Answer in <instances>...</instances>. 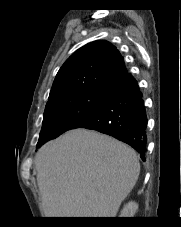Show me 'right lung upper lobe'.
Segmentation results:
<instances>
[{
	"instance_id": "right-lung-upper-lobe-1",
	"label": "right lung upper lobe",
	"mask_w": 181,
	"mask_h": 227,
	"mask_svg": "<svg viewBox=\"0 0 181 227\" xmlns=\"http://www.w3.org/2000/svg\"><path fill=\"white\" fill-rule=\"evenodd\" d=\"M128 74L123 57L111 43L99 40L74 52L58 71L47 105L69 95L111 89Z\"/></svg>"
}]
</instances>
